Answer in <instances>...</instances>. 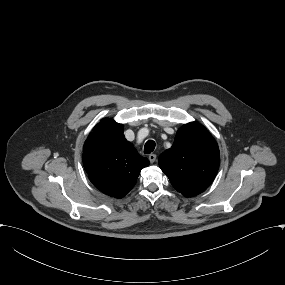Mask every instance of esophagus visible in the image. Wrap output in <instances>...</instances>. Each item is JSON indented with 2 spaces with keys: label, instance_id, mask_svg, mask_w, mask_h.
Masks as SVG:
<instances>
[{
  "label": "esophagus",
  "instance_id": "obj_1",
  "mask_svg": "<svg viewBox=\"0 0 285 285\" xmlns=\"http://www.w3.org/2000/svg\"><path fill=\"white\" fill-rule=\"evenodd\" d=\"M148 158L150 163H154V161L156 160V154H150Z\"/></svg>",
  "mask_w": 285,
  "mask_h": 285
}]
</instances>
